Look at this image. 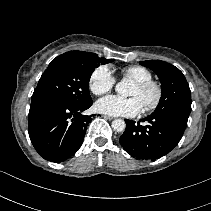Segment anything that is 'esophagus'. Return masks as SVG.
Here are the masks:
<instances>
[{
	"mask_svg": "<svg viewBox=\"0 0 211 211\" xmlns=\"http://www.w3.org/2000/svg\"><path fill=\"white\" fill-rule=\"evenodd\" d=\"M103 117H104L105 119H108V120L114 119L112 116H109V115H103Z\"/></svg>",
	"mask_w": 211,
	"mask_h": 211,
	"instance_id": "34e87169",
	"label": "esophagus"
}]
</instances>
